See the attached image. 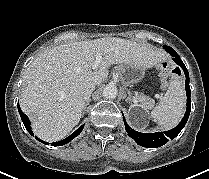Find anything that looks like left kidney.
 I'll return each mask as SVG.
<instances>
[{
	"label": "left kidney",
	"mask_w": 209,
	"mask_h": 179,
	"mask_svg": "<svg viewBox=\"0 0 209 179\" xmlns=\"http://www.w3.org/2000/svg\"><path fill=\"white\" fill-rule=\"evenodd\" d=\"M138 105L137 104H134V105H131L130 106V111H131V115L132 116H135V115H145L146 112L142 111L141 109H138V108H135L137 107ZM143 108V107H142Z\"/></svg>",
	"instance_id": "5707ae66"
}]
</instances>
